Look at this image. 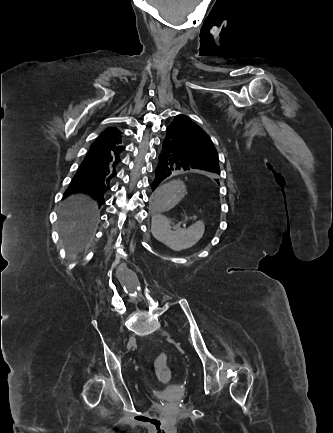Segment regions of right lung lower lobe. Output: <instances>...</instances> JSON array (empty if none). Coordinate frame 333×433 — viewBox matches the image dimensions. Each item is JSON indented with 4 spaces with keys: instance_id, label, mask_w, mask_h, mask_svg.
I'll return each mask as SVG.
<instances>
[{
    "instance_id": "obj_1",
    "label": "right lung lower lobe",
    "mask_w": 333,
    "mask_h": 433,
    "mask_svg": "<svg viewBox=\"0 0 333 433\" xmlns=\"http://www.w3.org/2000/svg\"><path fill=\"white\" fill-rule=\"evenodd\" d=\"M123 145L108 146L94 141L90 146L81 166L72 179L66 194L89 193L98 201L105 203L104 194L110 189V183L116 176V169L121 162Z\"/></svg>"
}]
</instances>
